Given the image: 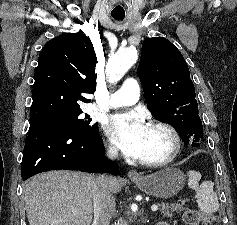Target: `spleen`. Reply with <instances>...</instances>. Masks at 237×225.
Here are the masks:
<instances>
[{"label":"spleen","instance_id":"1","mask_svg":"<svg viewBox=\"0 0 237 225\" xmlns=\"http://www.w3.org/2000/svg\"><path fill=\"white\" fill-rule=\"evenodd\" d=\"M188 186L196 192L198 208L206 214H213L219 210L217 194L214 192V184L211 181H205L199 185L201 174L197 171L188 172Z\"/></svg>","mask_w":237,"mask_h":225}]
</instances>
